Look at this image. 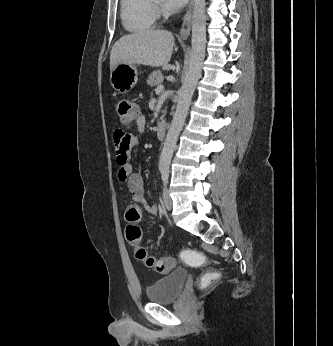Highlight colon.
Here are the masks:
<instances>
[{"instance_id":"1","label":"colon","mask_w":333,"mask_h":346,"mask_svg":"<svg viewBox=\"0 0 333 346\" xmlns=\"http://www.w3.org/2000/svg\"><path fill=\"white\" fill-rule=\"evenodd\" d=\"M117 114L122 124L131 125L138 118V110L136 105L129 100H120L117 103ZM125 219L129 223L126 228V237L129 244L134 248L135 257L139 261L159 273H168L175 267V260L170 257H153L148 255L147 250L142 246L141 229L138 226L140 220V209L137 205H130L125 213ZM201 249H187L184 253H178L177 259L187 260L186 267L194 268L195 271H204L206 267L205 258ZM219 273H208L203 276L201 281H196V288H211L210 280H219Z\"/></svg>"}]
</instances>
